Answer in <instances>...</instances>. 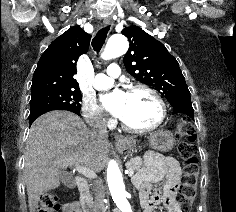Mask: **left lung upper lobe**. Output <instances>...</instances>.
Here are the masks:
<instances>
[{
	"label": "left lung upper lobe",
	"mask_w": 236,
	"mask_h": 212,
	"mask_svg": "<svg viewBox=\"0 0 236 212\" xmlns=\"http://www.w3.org/2000/svg\"><path fill=\"white\" fill-rule=\"evenodd\" d=\"M130 47L124 56L128 73L160 92L170 103L190 98V92L178 62L166 47L137 26L122 30Z\"/></svg>",
	"instance_id": "1"
}]
</instances>
